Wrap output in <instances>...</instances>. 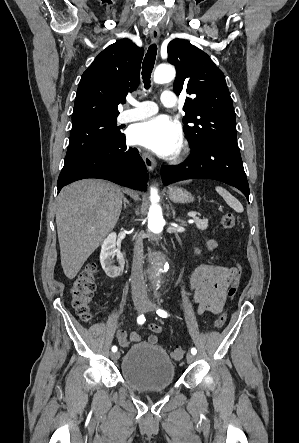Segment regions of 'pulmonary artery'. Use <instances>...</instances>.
Returning a JSON list of instances; mask_svg holds the SVG:
<instances>
[{
  "label": "pulmonary artery",
  "mask_w": 299,
  "mask_h": 443,
  "mask_svg": "<svg viewBox=\"0 0 299 443\" xmlns=\"http://www.w3.org/2000/svg\"><path fill=\"white\" fill-rule=\"evenodd\" d=\"M129 103L132 105V108L123 111L118 116V120L121 123L146 119L154 115L158 110L156 104L152 101L140 102L136 100H129ZM161 103L165 107H174L177 105V97L171 91H163L161 95Z\"/></svg>",
  "instance_id": "1"
}]
</instances>
